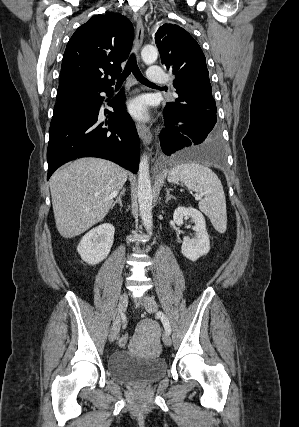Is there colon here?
I'll return each mask as SVG.
<instances>
[{
    "instance_id": "obj_1",
    "label": "colon",
    "mask_w": 299,
    "mask_h": 427,
    "mask_svg": "<svg viewBox=\"0 0 299 427\" xmlns=\"http://www.w3.org/2000/svg\"><path fill=\"white\" fill-rule=\"evenodd\" d=\"M128 340H129V338L127 335H122L119 339V345L121 347H125L128 344Z\"/></svg>"
}]
</instances>
